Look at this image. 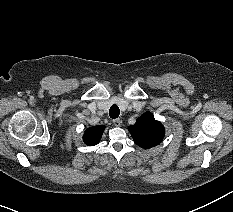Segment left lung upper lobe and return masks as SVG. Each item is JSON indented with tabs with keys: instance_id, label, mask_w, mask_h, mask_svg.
I'll return each mask as SVG.
<instances>
[{
	"instance_id": "left-lung-upper-lobe-1",
	"label": "left lung upper lobe",
	"mask_w": 233,
	"mask_h": 212,
	"mask_svg": "<svg viewBox=\"0 0 233 212\" xmlns=\"http://www.w3.org/2000/svg\"><path fill=\"white\" fill-rule=\"evenodd\" d=\"M128 129L134 142L144 149L158 145L165 134L163 125L156 121L150 112L141 115Z\"/></svg>"
}]
</instances>
